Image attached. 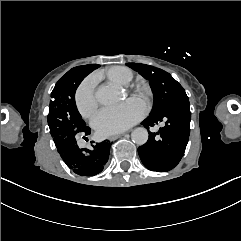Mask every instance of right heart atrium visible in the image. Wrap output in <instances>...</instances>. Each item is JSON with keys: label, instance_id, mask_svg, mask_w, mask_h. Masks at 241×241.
Returning <instances> with one entry per match:
<instances>
[{"label": "right heart atrium", "instance_id": "right-heart-atrium-1", "mask_svg": "<svg viewBox=\"0 0 241 241\" xmlns=\"http://www.w3.org/2000/svg\"><path fill=\"white\" fill-rule=\"evenodd\" d=\"M75 103L79 113L87 118L97 109V101L92 92L86 85L78 88L75 96Z\"/></svg>", "mask_w": 241, "mask_h": 241}]
</instances>
